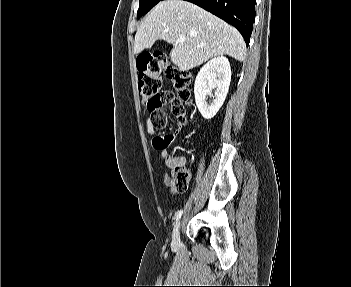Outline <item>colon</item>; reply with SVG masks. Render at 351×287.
<instances>
[{
	"label": "colon",
	"instance_id": "obj_1",
	"mask_svg": "<svg viewBox=\"0 0 351 287\" xmlns=\"http://www.w3.org/2000/svg\"><path fill=\"white\" fill-rule=\"evenodd\" d=\"M137 68L138 91L143 103L152 113L153 127L156 130L166 127L167 114L163 107L167 103L171 104L173 113L185 124L186 105L191 97L192 73L173 64L164 54L156 52L141 55ZM162 75H166L173 83L176 95L170 91L160 93ZM171 166L175 188L184 192L189 186L191 173L181 164L174 163Z\"/></svg>",
	"mask_w": 351,
	"mask_h": 287
}]
</instances>
